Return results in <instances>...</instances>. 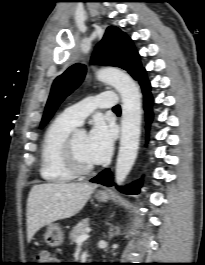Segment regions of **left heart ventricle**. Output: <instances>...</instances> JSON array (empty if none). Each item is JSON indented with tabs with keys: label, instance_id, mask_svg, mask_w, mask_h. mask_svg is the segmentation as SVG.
<instances>
[{
	"label": "left heart ventricle",
	"instance_id": "obj_1",
	"mask_svg": "<svg viewBox=\"0 0 205 265\" xmlns=\"http://www.w3.org/2000/svg\"><path fill=\"white\" fill-rule=\"evenodd\" d=\"M75 152L79 162L82 165L89 166L93 165L94 163L89 158L87 152V134L85 133H77L75 136Z\"/></svg>",
	"mask_w": 205,
	"mask_h": 265
}]
</instances>
